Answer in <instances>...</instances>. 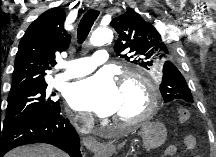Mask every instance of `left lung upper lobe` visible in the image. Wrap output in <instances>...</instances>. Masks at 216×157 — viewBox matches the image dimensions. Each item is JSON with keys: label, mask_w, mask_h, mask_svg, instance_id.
<instances>
[{"label": "left lung upper lobe", "mask_w": 216, "mask_h": 157, "mask_svg": "<svg viewBox=\"0 0 216 157\" xmlns=\"http://www.w3.org/2000/svg\"><path fill=\"white\" fill-rule=\"evenodd\" d=\"M110 25L118 33L114 51L123 52L126 61L145 69H155V74H163L160 92L165 102L176 100L193 103L191 91L184 79V69L178 64L174 39L160 35L163 27L145 21L134 10L112 19Z\"/></svg>", "instance_id": "5c2ea615"}]
</instances>
